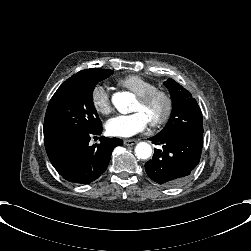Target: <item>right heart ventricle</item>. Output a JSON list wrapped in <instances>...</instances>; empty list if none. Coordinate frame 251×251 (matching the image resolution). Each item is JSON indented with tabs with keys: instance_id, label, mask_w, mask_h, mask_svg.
Returning <instances> with one entry per match:
<instances>
[{
	"instance_id": "e07e8e85",
	"label": "right heart ventricle",
	"mask_w": 251,
	"mask_h": 251,
	"mask_svg": "<svg viewBox=\"0 0 251 251\" xmlns=\"http://www.w3.org/2000/svg\"><path fill=\"white\" fill-rule=\"evenodd\" d=\"M119 83L122 86L132 90L137 95L147 93L156 88V85L153 82L141 75L136 74L125 76L119 81Z\"/></svg>"
}]
</instances>
